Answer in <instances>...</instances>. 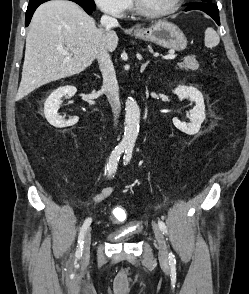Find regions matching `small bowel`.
I'll list each match as a JSON object with an SVG mask.
<instances>
[{
    "label": "small bowel",
    "mask_w": 249,
    "mask_h": 294,
    "mask_svg": "<svg viewBox=\"0 0 249 294\" xmlns=\"http://www.w3.org/2000/svg\"><path fill=\"white\" fill-rule=\"evenodd\" d=\"M115 190H116V186H107V187L102 188L98 193H96L92 196V203L94 205L101 204L103 201H105L107 198H109L114 193ZM116 212H117V208L113 209L112 217L116 221L124 220L123 218H116V216H115Z\"/></svg>",
    "instance_id": "obj_1"
}]
</instances>
